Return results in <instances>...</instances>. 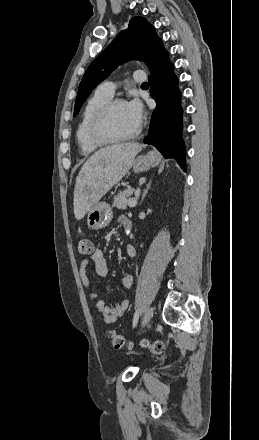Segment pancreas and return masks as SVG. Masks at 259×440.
<instances>
[{
    "mask_svg": "<svg viewBox=\"0 0 259 440\" xmlns=\"http://www.w3.org/2000/svg\"><path fill=\"white\" fill-rule=\"evenodd\" d=\"M134 193L133 188H128L120 193L114 198L113 206L117 209H126L130 200L136 198H129Z\"/></svg>",
    "mask_w": 259,
    "mask_h": 440,
    "instance_id": "1",
    "label": "pancreas"
}]
</instances>
